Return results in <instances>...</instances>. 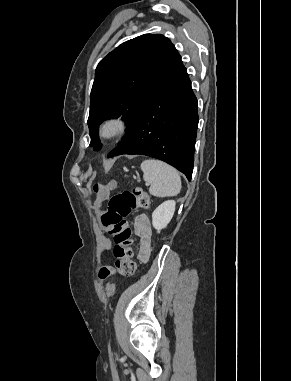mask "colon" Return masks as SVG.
<instances>
[{
	"label": "colon",
	"instance_id": "5ec220e1",
	"mask_svg": "<svg viewBox=\"0 0 291 381\" xmlns=\"http://www.w3.org/2000/svg\"><path fill=\"white\" fill-rule=\"evenodd\" d=\"M113 184H95L92 187L98 199L106 198ZM150 206L148 194L140 188L115 193L108 201V210L102 216V224L114 241V264L101 265L97 275L104 281L113 275L130 277L134 274L136 264L133 260V232L128 224V216L137 210H145Z\"/></svg>",
	"mask_w": 291,
	"mask_h": 381
}]
</instances>
